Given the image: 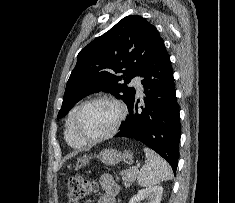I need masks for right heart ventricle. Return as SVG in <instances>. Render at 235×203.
Segmentation results:
<instances>
[{
    "mask_svg": "<svg viewBox=\"0 0 235 203\" xmlns=\"http://www.w3.org/2000/svg\"><path fill=\"white\" fill-rule=\"evenodd\" d=\"M78 106L74 107L68 114L66 127H65V140L66 142L73 148H81L85 145L82 141H80L77 136L74 134L72 129V121L73 116Z\"/></svg>",
    "mask_w": 235,
    "mask_h": 203,
    "instance_id": "obj_1",
    "label": "right heart ventricle"
}]
</instances>
